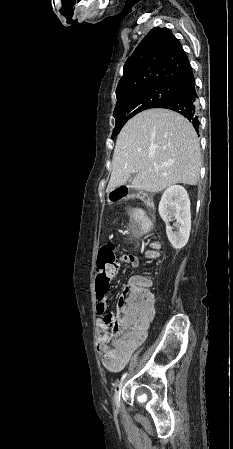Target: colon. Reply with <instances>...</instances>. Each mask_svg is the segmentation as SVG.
<instances>
[{"label": "colon", "instance_id": "obj_1", "mask_svg": "<svg viewBox=\"0 0 233 449\" xmlns=\"http://www.w3.org/2000/svg\"><path fill=\"white\" fill-rule=\"evenodd\" d=\"M118 265V258L112 245L102 246L98 251L96 291L97 303H101L109 290L108 269ZM154 298L151 292L150 279L146 276L133 278L127 285L120 299V313L115 317L107 313L104 317L113 333H118L125 342L132 339L139 327L140 321L153 312ZM125 361L123 356L116 351L115 346L109 343L103 356V364L109 368H121Z\"/></svg>", "mask_w": 233, "mask_h": 449}]
</instances>
